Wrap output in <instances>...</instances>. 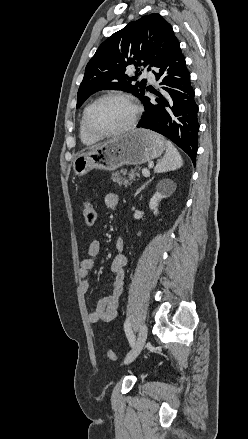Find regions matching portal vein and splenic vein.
<instances>
[{
	"label": "portal vein and splenic vein",
	"instance_id": "portal-vein-and-splenic-vein-1",
	"mask_svg": "<svg viewBox=\"0 0 248 439\" xmlns=\"http://www.w3.org/2000/svg\"><path fill=\"white\" fill-rule=\"evenodd\" d=\"M142 174H143V176H145V177L150 176V172H149L148 169H142Z\"/></svg>",
	"mask_w": 248,
	"mask_h": 439
}]
</instances>
